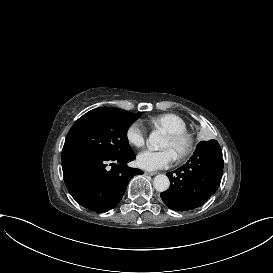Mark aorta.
<instances>
[{
    "label": "aorta",
    "mask_w": 273,
    "mask_h": 273,
    "mask_svg": "<svg viewBox=\"0 0 273 273\" xmlns=\"http://www.w3.org/2000/svg\"><path fill=\"white\" fill-rule=\"evenodd\" d=\"M147 144L150 148L157 150L163 145V136L159 131H153L149 135ZM153 184L157 191L164 192L169 189L170 181L166 175L159 174L155 176Z\"/></svg>",
    "instance_id": "obj_1"
}]
</instances>
